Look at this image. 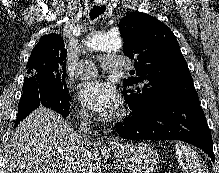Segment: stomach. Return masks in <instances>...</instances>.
<instances>
[{"instance_id":"1","label":"stomach","mask_w":219,"mask_h":173,"mask_svg":"<svg viewBox=\"0 0 219 173\" xmlns=\"http://www.w3.org/2000/svg\"><path fill=\"white\" fill-rule=\"evenodd\" d=\"M112 150L119 163L131 173H153L158 168L159 155L145 142L118 144Z\"/></svg>"}]
</instances>
